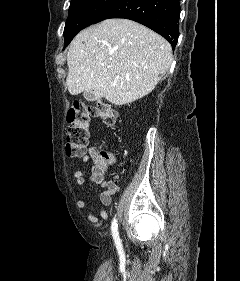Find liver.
I'll return each mask as SVG.
<instances>
[{
	"mask_svg": "<svg viewBox=\"0 0 240 281\" xmlns=\"http://www.w3.org/2000/svg\"><path fill=\"white\" fill-rule=\"evenodd\" d=\"M172 63L170 44L129 19H107L80 31L67 53L72 95L94 92L120 106L153 91Z\"/></svg>",
	"mask_w": 240,
	"mask_h": 281,
	"instance_id": "obj_1",
	"label": "liver"
}]
</instances>
